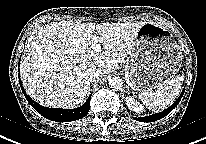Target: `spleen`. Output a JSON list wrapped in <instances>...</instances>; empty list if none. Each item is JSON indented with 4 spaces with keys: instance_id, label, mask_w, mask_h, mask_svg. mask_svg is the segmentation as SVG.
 Returning <instances> with one entry per match:
<instances>
[{
    "instance_id": "1",
    "label": "spleen",
    "mask_w": 206,
    "mask_h": 144,
    "mask_svg": "<svg viewBox=\"0 0 206 144\" xmlns=\"http://www.w3.org/2000/svg\"><path fill=\"white\" fill-rule=\"evenodd\" d=\"M183 81V76L167 79L156 90L140 93L139 98L148 109L159 112L173 103L180 93Z\"/></svg>"
}]
</instances>
